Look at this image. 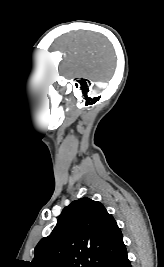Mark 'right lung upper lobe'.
Listing matches in <instances>:
<instances>
[{
  "instance_id": "obj_1",
  "label": "right lung upper lobe",
  "mask_w": 164,
  "mask_h": 267,
  "mask_svg": "<svg viewBox=\"0 0 164 267\" xmlns=\"http://www.w3.org/2000/svg\"><path fill=\"white\" fill-rule=\"evenodd\" d=\"M125 245L116 221L87 197L65 207L52 233L35 248L31 267H97Z\"/></svg>"
}]
</instances>
